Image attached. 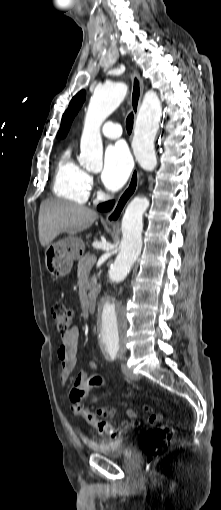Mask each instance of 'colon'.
I'll list each match as a JSON object with an SVG mask.
<instances>
[{"label": "colon", "mask_w": 221, "mask_h": 510, "mask_svg": "<svg viewBox=\"0 0 221 510\" xmlns=\"http://www.w3.org/2000/svg\"><path fill=\"white\" fill-rule=\"evenodd\" d=\"M51 315L56 323L57 330L61 334L67 333L71 328L74 320L73 311L63 304H53L51 307ZM103 378L94 374L90 376L88 385L91 388H99L103 385ZM80 394L84 397L85 392L82 391ZM114 409L104 408L99 409L96 412L90 409H84L85 419L99 431L105 427V418L111 417L114 414ZM160 420L159 414H151L147 418L148 423H156ZM175 435L174 427L170 424H165L160 427L154 428L149 432L145 441V453L147 459V466L149 467L152 461L157 458L173 441Z\"/></svg>", "instance_id": "1"}]
</instances>
